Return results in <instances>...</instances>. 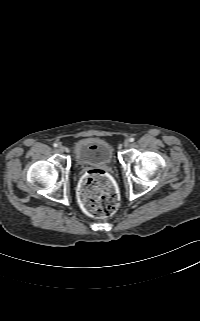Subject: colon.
<instances>
[{"mask_svg":"<svg viewBox=\"0 0 200 321\" xmlns=\"http://www.w3.org/2000/svg\"><path fill=\"white\" fill-rule=\"evenodd\" d=\"M79 199L85 212L97 218L111 216L119 205L117 191L101 169L90 170L83 176L79 184Z\"/></svg>","mask_w":200,"mask_h":321,"instance_id":"colon-1","label":"colon"}]
</instances>
